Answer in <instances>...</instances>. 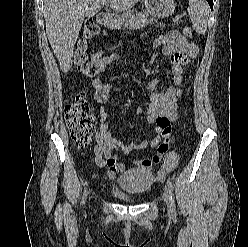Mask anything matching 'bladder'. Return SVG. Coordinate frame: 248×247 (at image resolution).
I'll use <instances>...</instances> for the list:
<instances>
[{
	"label": "bladder",
	"mask_w": 248,
	"mask_h": 247,
	"mask_svg": "<svg viewBox=\"0 0 248 247\" xmlns=\"http://www.w3.org/2000/svg\"><path fill=\"white\" fill-rule=\"evenodd\" d=\"M118 183L122 191L116 197L122 201H132L133 196L142 195L150 189L153 175L149 170L133 169L121 176Z\"/></svg>",
	"instance_id": "bladder-1"
}]
</instances>
